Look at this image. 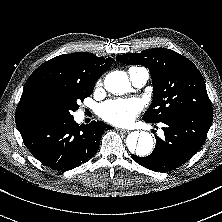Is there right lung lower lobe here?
I'll return each mask as SVG.
<instances>
[{"mask_svg":"<svg viewBox=\"0 0 222 222\" xmlns=\"http://www.w3.org/2000/svg\"><path fill=\"white\" fill-rule=\"evenodd\" d=\"M16 126L36 159L63 171L90 160L104 131L112 129L101 121L79 126L73 118L40 112L16 116Z\"/></svg>","mask_w":222,"mask_h":222,"instance_id":"1","label":"right lung lower lobe"}]
</instances>
